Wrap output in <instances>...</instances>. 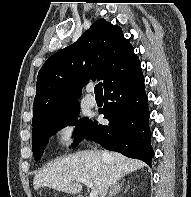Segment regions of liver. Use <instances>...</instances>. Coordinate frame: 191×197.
Segmentation results:
<instances>
[{
	"mask_svg": "<svg viewBox=\"0 0 191 197\" xmlns=\"http://www.w3.org/2000/svg\"><path fill=\"white\" fill-rule=\"evenodd\" d=\"M107 154L103 160L102 153ZM144 163L130 159L117 152L85 150L64 156L40 169L34 176V190L49 187L69 194L82 190L77 179L90 180L99 195L106 183L116 184L125 175L144 167Z\"/></svg>",
	"mask_w": 191,
	"mask_h": 197,
	"instance_id": "6515ba94",
	"label": "liver"
}]
</instances>
